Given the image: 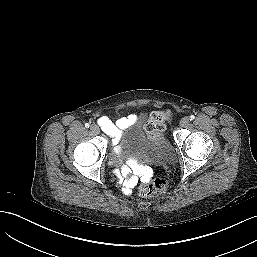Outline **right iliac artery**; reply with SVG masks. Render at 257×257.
Returning a JSON list of instances; mask_svg holds the SVG:
<instances>
[{
	"mask_svg": "<svg viewBox=\"0 0 257 257\" xmlns=\"http://www.w3.org/2000/svg\"><path fill=\"white\" fill-rule=\"evenodd\" d=\"M85 127H86V128H89V127H90V124H89V123H86V124H85Z\"/></svg>",
	"mask_w": 257,
	"mask_h": 257,
	"instance_id": "obj_1",
	"label": "right iliac artery"
}]
</instances>
